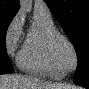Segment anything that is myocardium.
<instances>
[{
  "label": "myocardium",
  "mask_w": 89,
  "mask_h": 89,
  "mask_svg": "<svg viewBox=\"0 0 89 89\" xmlns=\"http://www.w3.org/2000/svg\"><path fill=\"white\" fill-rule=\"evenodd\" d=\"M62 42L66 43L69 46V48L71 49V51L74 55V66L71 68H65L59 57L58 46ZM49 50H50L52 58L54 59L56 66L60 70H62L65 74L68 72L74 71L78 67L79 56H78L77 49L75 48V45L70 40V38L68 36H66L65 34L59 32V31L53 33L49 38Z\"/></svg>",
  "instance_id": "1"
}]
</instances>
